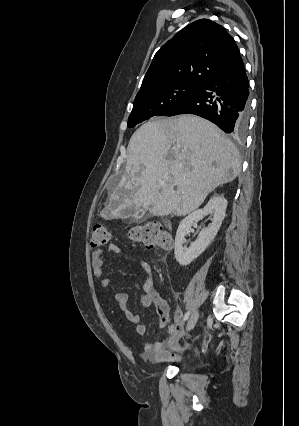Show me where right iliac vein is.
Returning a JSON list of instances; mask_svg holds the SVG:
<instances>
[{
	"mask_svg": "<svg viewBox=\"0 0 299 426\" xmlns=\"http://www.w3.org/2000/svg\"><path fill=\"white\" fill-rule=\"evenodd\" d=\"M198 317H199V313H198V311L196 310V311H194L192 314H191V316H190V318H189V320H188V322H187V325H186V332H188V331H190L191 329H193V327L196 325V323H197V320H198Z\"/></svg>",
	"mask_w": 299,
	"mask_h": 426,
	"instance_id": "right-iliac-vein-1",
	"label": "right iliac vein"
}]
</instances>
